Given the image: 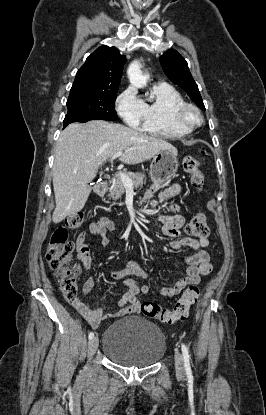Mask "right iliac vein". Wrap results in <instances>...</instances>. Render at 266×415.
Here are the masks:
<instances>
[{
	"instance_id": "right-iliac-vein-1",
	"label": "right iliac vein",
	"mask_w": 266,
	"mask_h": 415,
	"mask_svg": "<svg viewBox=\"0 0 266 415\" xmlns=\"http://www.w3.org/2000/svg\"><path fill=\"white\" fill-rule=\"evenodd\" d=\"M97 348H98V338L93 337L92 339H90V341L88 343V356H89V359H91L93 357V355L95 354Z\"/></svg>"
}]
</instances>
